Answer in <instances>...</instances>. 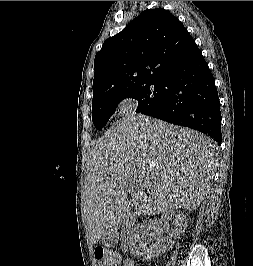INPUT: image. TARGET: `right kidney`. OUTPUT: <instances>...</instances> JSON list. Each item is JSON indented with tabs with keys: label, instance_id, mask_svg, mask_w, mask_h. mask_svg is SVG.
Instances as JSON below:
<instances>
[{
	"label": "right kidney",
	"instance_id": "ca27d5eb",
	"mask_svg": "<svg viewBox=\"0 0 253 266\" xmlns=\"http://www.w3.org/2000/svg\"><path fill=\"white\" fill-rule=\"evenodd\" d=\"M173 224L170 233L165 236V229H168V222ZM167 219V221H166ZM166 219L157 221L149 219L138 224L129 236V248L132 254L144 260H150L165 253L173 246L175 241L187 227L186 218L182 215H168Z\"/></svg>",
	"mask_w": 253,
	"mask_h": 266
}]
</instances>
